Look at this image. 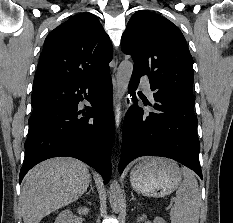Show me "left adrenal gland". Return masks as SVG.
Masks as SVG:
<instances>
[{
  "label": "left adrenal gland",
  "instance_id": "left-adrenal-gland-1",
  "mask_svg": "<svg viewBox=\"0 0 233 223\" xmlns=\"http://www.w3.org/2000/svg\"><path fill=\"white\" fill-rule=\"evenodd\" d=\"M131 195H132L131 199H133V201H137L136 197H134V195H133V191H131ZM131 199H130V201H131ZM139 205H141V203H139Z\"/></svg>",
  "mask_w": 233,
  "mask_h": 223
}]
</instances>
